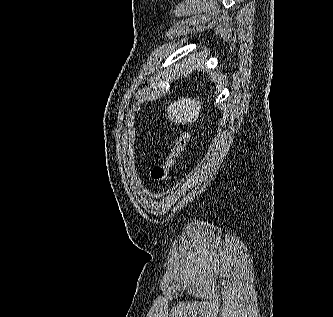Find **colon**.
I'll list each match as a JSON object with an SVG mask.
<instances>
[{"label":"colon","mask_w":333,"mask_h":317,"mask_svg":"<svg viewBox=\"0 0 333 317\" xmlns=\"http://www.w3.org/2000/svg\"><path fill=\"white\" fill-rule=\"evenodd\" d=\"M190 133L187 131L182 132L175 140L174 145L167 155L165 161L152 168L151 178L156 183H164L168 180L170 171L175 165L179 156L185 150L190 140Z\"/></svg>","instance_id":"5ec220e1"}]
</instances>
